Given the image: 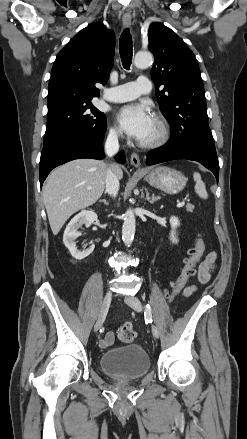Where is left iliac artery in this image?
Segmentation results:
<instances>
[{
    "label": "left iliac artery",
    "instance_id": "obj_1",
    "mask_svg": "<svg viewBox=\"0 0 247 439\" xmlns=\"http://www.w3.org/2000/svg\"><path fill=\"white\" fill-rule=\"evenodd\" d=\"M145 318L148 320V322H152V311L149 304L145 305Z\"/></svg>",
    "mask_w": 247,
    "mask_h": 439
}]
</instances>
